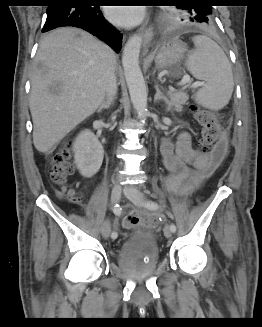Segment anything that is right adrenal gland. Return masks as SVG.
Masks as SVG:
<instances>
[{"label": "right adrenal gland", "mask_w": 262, "mask_h": 327, "mask_svg": "<svg viewBox=\"0 0 262 327\" xmlns=\"http://www.w3.org/2000/svg\"><path fill=\"white\" fill-rule=\"evenodd\" d=\"M111 105V101L109 100H106V101H103V103L100 105L98 111H102V109H108Z\"/></svg>", "instance_id": "obj_1"}]
</instances>
